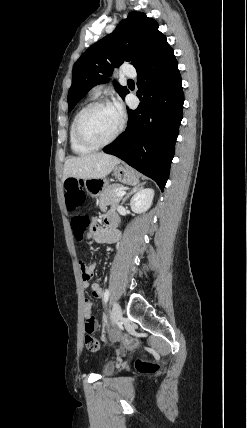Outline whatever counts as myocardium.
<instances>
[{
	"mask_svg": "<svg viewBox=\"0 0 247 428\" xmlns=\"http://www.w3.org/2000/svg\"><path fill=\"white\" fill-rule=\"evenodd\" d=\"M105 106H110V103L108 101H105V100L94 101V102L90 103L89 105H87L81 111L79 116L77 117L76 122H75V135H76L77 140L82 145L87 146L89 148H93V149L103 148V147L113 143L118 138V136L120 135L122 128H123V121L122 120L119 121L118 126H117L116 130L114 131V133L112 134V136L103 142H94L85 136V134L83 132V128H82L84 119L94 109L99 108V107H105Z\"/></svg>",
	"mask_w": 247,
	"mask_h": 428,
	"instance_id": "1",
	"label": "myocardium"
}]
</instances>
